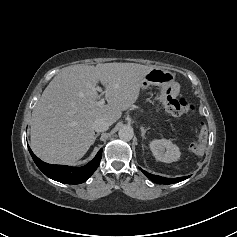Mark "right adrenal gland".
Listing matches in <instances>:
<instances>
[{"label":"right adrenal gland","mask_w":237,"mask_h":237,"mask_svg":"<svg viewBox=\"0 0 237 237\" xmlns=\"http://www.w3.org/2000/svg\"><path fill=\"white\" fill-rule=\"evenodd\" d=\"M99 135H100L99 133H97V134L95 135V137H94V142H95L96 138H97Z\"/></svg>","instance_id":"right-adrenal-gland-1"}]
</instances>
